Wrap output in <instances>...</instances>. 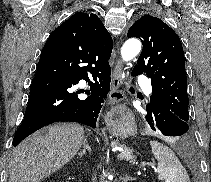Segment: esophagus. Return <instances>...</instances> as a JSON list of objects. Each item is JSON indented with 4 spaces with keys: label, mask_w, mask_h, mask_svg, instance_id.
Segmentation results:
<instances>
[{
    "label": "esophagus",
    "mask_w": 211,
    "mask_h": 182,
    "mask_svg": "<svg viewBox=\"0 0 211 182\" xmlns=\"http://www.w3.org/2000/svg\"><path fill=\"white\" fill-rule=\"evenodd\" d=\"M125 78V71L122 61L119 59L112 73L111 90L108 95L109 102L112 105L118 104L124 100L125 95L120 87Z\"/></svg>",
    "instance_id": "esophagus-1"
}]
</instances>
